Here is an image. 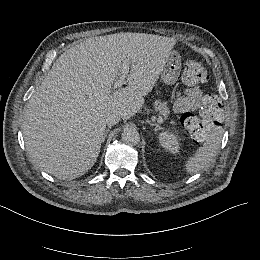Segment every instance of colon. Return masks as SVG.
I'll use <instances>...</instances> for the list:
<instances>
[{
	"label": "colon",
	"instance_id": "colon-1",
	"mask_svg": "<svg viewBox=\"0 0 260 260\" xmlns=\"http://www.w3.org/2000/svg\"><path fill=\"white\" fill-rule=\"evenodd\" d=\"M184 80L186 85H196L206 83L209 74L202 62L198 59H189L185 64ZM183 122L191 135H197L207 123V117L200 114L187 113L183 117Z\"/></svg>",
	"mask_w": 260,
	"mask_h": 260
}]
</instances>
